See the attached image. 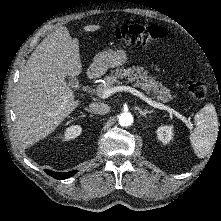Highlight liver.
Returning <instances> with one entry per match:
<instances>
[{
    "label": "liver",
    "instance_id": "1",
    "mask_svg": "<svg viewBox=\"0 0 221 221\" xmlns=\"http://www.w3.org/2000/svg\"><path fill=\"white\" fill-rule=\"evenodd\" d=\"M99 25L83 27L85 32ZM82 72L79 43L66 27H59L36 47L20 73L15 93L16 126L25 146L54 131L80 104L67 85V76Z\"/></svg>",
    "mask_w": 221,
    "mask_h": 221
}]
</instances>
